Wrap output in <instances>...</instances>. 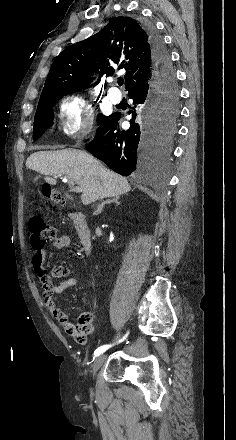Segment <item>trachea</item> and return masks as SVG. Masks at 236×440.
Instances as JSON below:
<instances>
[{
	"label": "trachea",
	"instance_id": "1",
	"mask_svg": "<svg viewBox=\"0 0 236 440\" xmlns=\"http://www.w3.org/2000/svg\"><path fill=\"white\" fill-rule=\"evenodd\" d=\"M123 83H124V80L123 79H118V85H120V86H122L123 85Z\"/></svg>",
	"mask_w": 236,
	"mask_h": 440
}]
</instances>
